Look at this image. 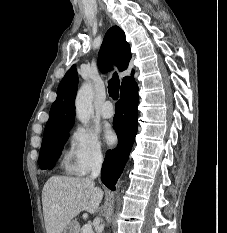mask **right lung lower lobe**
<instances>
[{
  "instance_id": "98d812e1",
  "label": "right lung lower lobe",
  "mask_w": 227,
  "mask_h": 233,
  "mask_svg": "<svg viewBox=\"0 0 227 233\" xmlns=\"http://www.w3.org/2000/svg\"><path fill=\"white\" fill-rule=\"evenodd\" d=\"M138 86L120 95L116 104L114 130L118 136V145L106 154L101 170V180L111 190L120 177L129 158L138 127Z\"/></svg>"
}]
</instances>
